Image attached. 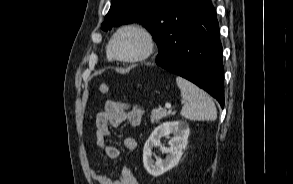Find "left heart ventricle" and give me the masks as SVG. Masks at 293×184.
I'll return each instance as SVG.
<instances>
[{
  "label": "left heart ventricle",
  "instance_id": "obj_1",
  "mask_svg": "<svg viewBox=\"0 0 293 184\" xmlns=\"http://www.w3.org/2000/svg\"><path fill=\"white\" fill-rule=\"evenodd\" d=\"M144 46L143 36L134 30L123 31L114 41V50L122 57L136 56L143 51Z\"/></svg>",
  "mask_w": 293,
  "mask_h": 184
}]
</instances>
